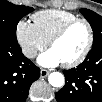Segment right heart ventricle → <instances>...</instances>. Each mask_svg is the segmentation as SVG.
Segmentation results:
<instances>
[{"mask_svg":"<svg viewBox=\"0 0 102 102\" xmlns=\"http://www.w3.org/2000/svg\"><path fill=\"white\" fill-rule=\"evenodd\" d=\"M77 18L71 12L57 9L42 10L32 16L34 26L47 42L66 23Z\"/></svg>","mask_w":102,"mask_h":102,"instance_id":"obj_1","label":"right heart ventricle"}]
</instances>
